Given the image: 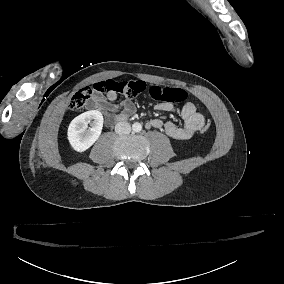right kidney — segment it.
Segmentation results:
<instances>
[{
    "instance_id": "right-kidney-1",
    "label": "right kidney",
    "mask_w": 284,
    "mask_h": 284,
    "mask_svg": "<svg viewBox=\"0 0 284 284\" xmlns=\"http://www.w3.org/2000/svg\"><path fill=\"white\" fill-rule=\"evenodd\" d=\"M90 124V128H88ZM103 127V116L97 110H91L75 117L68 128V140L74 150L83 152L99 138Z\"/></svg>"
}]
</instances>
